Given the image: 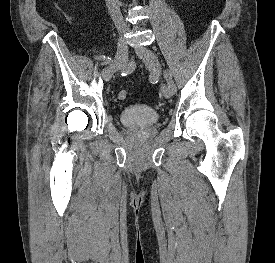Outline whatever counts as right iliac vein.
Masks as SVG:
<instances>
[{
	"label": "right iliac vein",
	"mask_w": 275,
	"mask_h": 263,
	"mask_svg": "<svg viewBox=\"0 0 275 263\" xmlns=\"http://www.w3.org/2000/svg\"><path fill=\"white\" fill-rule=\"evenodd\" d=\"M128 57V47L125 43L119 42L114 56V63L103 70L102 77L105 81H109L114 72L125 62Z\"/></svg>",
	"instance_id": "1"
}]
</instances>
